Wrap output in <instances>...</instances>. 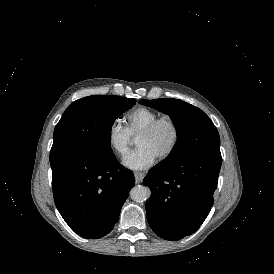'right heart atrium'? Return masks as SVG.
Wrapping results in <instances>:
<instances>
[{
  "mask_svg": "<svg viewBox=\"0 0 274 274\" xmlns=\"http://www.w3.org/2000/svg\"><path fill=\"white\" fill-rule=\"evenodd\" d=\"M106 140L112 151L123 154L128 148L130 137L121 124L111 123L107 129Z\"/></svg>",
  "mask_w": 274,
  "mask_h": 274,
  "instance_id": "1",
  "label": "right heart atrium"
}]
</instances>
